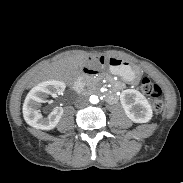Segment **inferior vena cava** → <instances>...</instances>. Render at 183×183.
<instances>
[{"mask_svg": "<svg viewBox=\"0 0 183 183\" xmlns=\"http://www.w3.org/2000/svg\"><path fill=\"white\" fill-rule=\"evenodd\" d=\"M88 104V99L86 97L80 96L76 99L75 105L77 107H83Z\"/></svg>", "mask_w": 183, "mask_h": 183, "instance_id": "inferior-vena-cava-1", "label": "inferior vena cava"}]
</instances>
